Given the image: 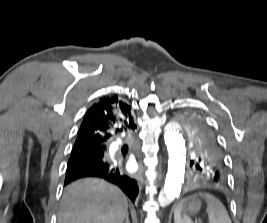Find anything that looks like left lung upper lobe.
<instances>
[{"label": "left lung upper lobe", "mask_w": 267, "mask_h": 223, "mask_svg": "<svg viewBox=\"0 0 267 223\" xmlns=\"http://www.w3.org/2000/svg\"><path fill=\"white\" fill-rule=\"evenodd\" d=\"M184 133L194 152L190 165L195 171H226L224 158L215 134L198 114L184 113L181 117Z\"/></svg>", "instance_id": "obj_1"}]
</instances>
